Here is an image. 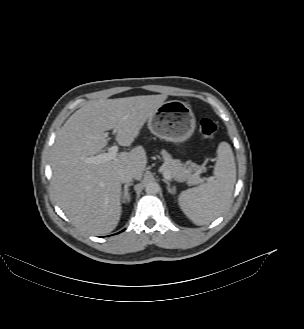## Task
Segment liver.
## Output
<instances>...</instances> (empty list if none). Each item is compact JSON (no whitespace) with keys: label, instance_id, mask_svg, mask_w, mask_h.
Masks as SVG:
<instances>
[{"label":"liver","instance_id":"obj_1","mask_svg":"<svg viewBox=\"0 0 304 329\" xmlns=\"http://www.w3.org/2000/svg\"><path fill=\"white\" fill-rule=\"evenodd\" d=\"M166 99L161 94L91 101L58 131L51 157L52 188L77 228L92 235L113 231L121 216L119 171L130 170L140 180L147 164L142 146L100 164L86 163V158L107 146L105 131L110 129L121 146H130Z\"/></svg>","mask_w":304,"mask_h":329}]
</instances>
